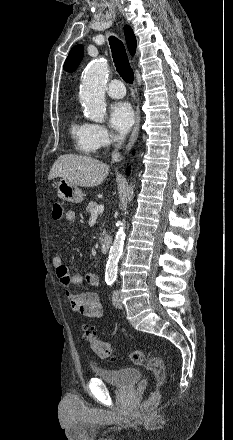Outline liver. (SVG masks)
<instances>
[{
  "label": "liver",
  "instance_id": "6515ba94",
  "mask_svg": "<svg viewBox=\"0 0 233 440\" xmlns=\"http://www.w3.org/2000/svg\"><path fill=\"white\" fill-rule=\"evenodd\" d=\"M109 172V166L97 159L82 155H62L53 164L48 179L62 177L80 187L100 185Z\"/></svg>",
  "mask_w": 233,
  "mask_h": 440
}]
</instances>
